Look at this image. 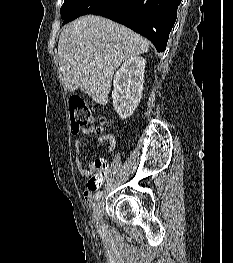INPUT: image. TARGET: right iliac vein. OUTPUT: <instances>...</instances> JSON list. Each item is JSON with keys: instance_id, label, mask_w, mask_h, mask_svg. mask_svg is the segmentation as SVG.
<instances>
[{"instance_id": "63e3f726", "label": "right iliac vein", "mask_w": 233, "mask_h": 263, "mask_svg": "<svg viewBox=\"0 0 233 263\" xmlns=\"http://www.w3.org/2000/svg\"><path fill=\"white\" fill-rule=\"evenodd\" d=\"M102 202L99 201L97 203V205L94 208V212H93V216H94V220L99 223L102 219Z\"/></svg>"}]
</instances>
